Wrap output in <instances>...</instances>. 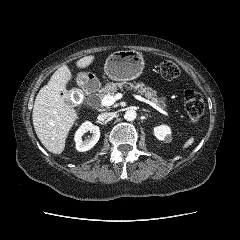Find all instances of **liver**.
Instances as JSON below:
<instances>
[{
    "label": "liver",
    "mask_w": 240,
    "mask_h": 240,
    "mask_svg": "<svg viewBox=\"0 0 240 240\" xmlns=\"http://www.w3.org/2000/svg\"><path fill=\"white\" fill-rule=\"evenodd\" d=\"M95 57L85 56L76 62L80 69L87 68ZM72 79L67 65L58 68L47 85L38 92L32 113L34 130L43 146L53 154H61L65 149L68 133L78 118L76 110L65 103L61 92H66V84Z\"/></svg>",
    "instance_id": "1"
}]
</instances>
